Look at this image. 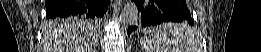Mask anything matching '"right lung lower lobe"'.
I'll return each instance as SVG.
<instances>
[{"label":"right lung lower lobe","mask_w":261,"mask_h":52,"mask_svg":"<svg viewBox=\"0 0 261 52\" xmlns=\"http://www.w3.org/2000/svg\"><path fill=\"white\" fill-rule=\"evenodd\" d=\"M107 6L108 0H46V17L84 16L98 20Z\"/></svg>","instance_id":"right-lung-lower-lobe-1"}]
</instances>
